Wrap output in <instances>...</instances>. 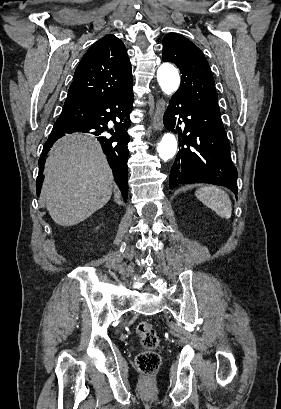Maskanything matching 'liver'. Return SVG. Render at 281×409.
<instances>
[{
	"mask_svg": "<svg viewBox=\"0 0 281 409\" xmlns=\"http://www.w3.org/2000/svg\"><path fill=\"white\" fill-rule=\"evenodd\" d=\"M41 196L57 225L74 227L107 205L113 176L92 134H67L50 150Z\"/></svg>",
	"mask_w": 281,
	"mask_h": 409,
	"instance_id": "liver-1",
	"label": "liver"
}]
</instances>
